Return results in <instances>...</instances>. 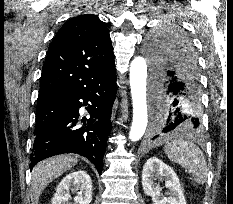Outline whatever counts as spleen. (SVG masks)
<instances>
[{"mask_svg": "<svg viewBox=\"0 0 233 204\" xmlns=\"http://www.w3.org/2000/svg\"><path fill=\"white\" fill-rule=\"evenodd\" d=\"M164 152L173 163H177L192 173L195 183L203 185L207 181L208 169L201 149L185 139H174L167 143Z\"/></svg>", "mask_w": 233, "mask_h": 204, "instance_id": "obj_1", "label": "spleen"}]
</instances>
